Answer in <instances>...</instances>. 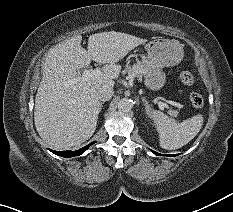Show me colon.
Wrapping results in <instances>:
<instances>
[{"label":"colon","instance_id":"colon-1","mask_svg":"<svg viewBox=\"0 0 233 212\" xmlns=\"http://www.w3.org/2000/svg\"><path fill=\"white\" fill-rule=\"evenodd\" d=\"M181 81L187 85L192 86L195 82L193 75L188 71H183L180 73ZM191 104L195 109H201L204 105L203 97L197 92H191L189 95Z\"/></svg>","mask_w":233,"mask_h":212}]
</instances>
